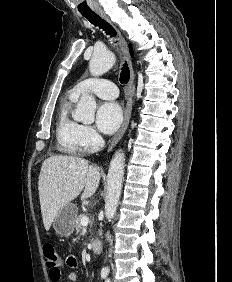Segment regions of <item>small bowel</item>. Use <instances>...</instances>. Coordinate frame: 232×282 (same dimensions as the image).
<instances>
[{"label":"small bowel","instance_id":"1","mask_svg":"<svg viewBox=\"0 0 232 282\" xmlns=\"http://www.w3.org/2000/svg\"><path fill=\"white\" fill-rule=\"evenodd\" d=\"M78 266V260L74 255H69L66 260L65 263L59 266L58 272L57 273H53V272H49V277H50V281L51 282H61V271L64 269H72V271L69 273L68 275V279L71 282H76L78 280V274L76 273V271H74V269H76Z\"/></svg>","mask_w":232,"mask_h":282}]
</instances>
